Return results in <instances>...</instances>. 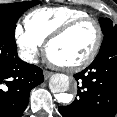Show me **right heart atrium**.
<instances>
[{"instance_id":"1","label":"right heart atrium","mask_w":117,"mask_h":117,"mask_svg":"<svg viewBox=\"0 0 117 117\" xmlns=\"http://www.w3.org/2000/svg\"><path fill=\"white\" fill-rule=\"evenodd\" d=\"M14 37L22 57L28 62H35L39 56L41 43L24 30L20 24L14 28Z\"/></svg>"}]
</instances>
